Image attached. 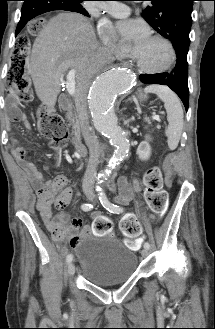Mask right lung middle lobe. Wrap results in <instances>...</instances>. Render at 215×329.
<instances>
[{
    "label": "right lung middle lobe",
    "instance_id": "right-lung-middle-lobe-1",
    "mask_svg": "<svg viewBox=\"0 0 215 329\" xmlns=\"http://www.w3.org/2000/svg\"><path fill=\"white\" fill-rule=\"evenodd\" d=\"M75 8L77 9H83V6H82V1L84 0H68Z\"/></svg>",
    "mask_w": 215,
    "mask_h": 329
}]
</instances>
